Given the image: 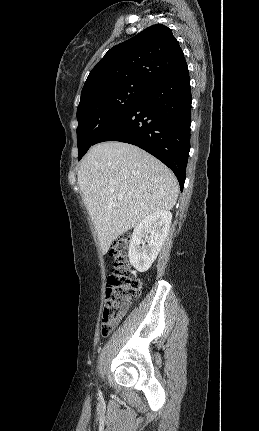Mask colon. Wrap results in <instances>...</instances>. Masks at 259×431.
<instances>
[{
  "instance_id": "5ec220e1",
  "label": "colon",
  "mask_w": 259,
  "mask_h": 431,
  "mask_svg": "<svg viewBox=\"0 0 259 431\" xmlns=\"http://www.w3.org/2000/svg\"><path fill=\"white\" fill-rule=\"evenodd\" d=\"M129 235L116 239L111 246L114 264L107 279L101 331L109 334L125 314L128 306L140 296L141 281L131 276L127 261Z\"/></svg>"
}]
</instances>
